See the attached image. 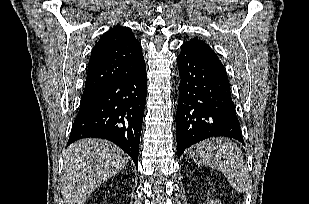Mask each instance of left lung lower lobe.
<instances>
[{"instance_id":"obj_1","label":"left lung lower lobe","mask_w":309,"mask_h":204,"mask_svg":"<svg viewBox=\"0 0 309 204\" xmlns=\"http://www.w3.org/2000/svg\"><path fill=\"white\" fill-rule=\"evenodd\" d=\"M181 83L176 112L178 156L210 137L224 136L244 144L223 66L186 46L177 57Z\"/></svg>"}]
</instances>
